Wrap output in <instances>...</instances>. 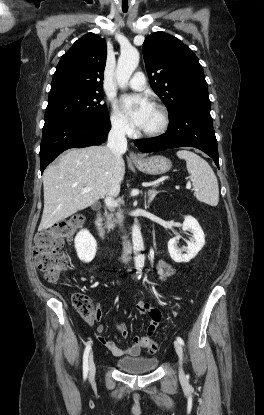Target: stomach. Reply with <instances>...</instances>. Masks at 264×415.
Wrapping results in <instances>:
<instances>
[{
  "instance_id": "0dacf381",
  "label": "stomach",
  "mask_w": 264,
  "mask_h": 415,
  "mask_svg": "<svg viewBox=\"0 0 264 415\" xmlns=\"http://www.w3.org/2000/svg\"><path fill=\"white\" fill-rule=\"evenodd\" d=\"M134 164L138 170L150 175L164 174L172 167L171 161L161 155L143 158L140 161L134 162Z\"/></svg>"
}]
</instances>
